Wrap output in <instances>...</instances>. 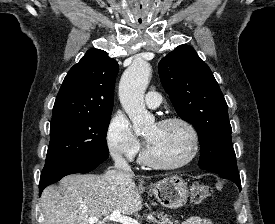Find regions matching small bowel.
Returning a JSON list of instances; mask_svg holds the SVG:
<instances>
[{"mask_svg":"<svg viewBox=\"0 0 275 224\" xmlns=\"http://www.w3.org/2000/svg\"><path fill=\"white\" fill-rule=\"evenodd\" d=\"M181 224H212V222L208 218L193 216L185 219Z\"/></svg>","mask_w":275,"mask_h":224,"instance_id":"c3829d8e","label":"small bowel"}]
</instances>
